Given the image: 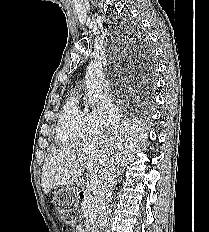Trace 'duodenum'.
<instances>
[{"mask_svg":"<svg viewBox=\"0 0 209 232\" xmlns=\"http://www.w3.org/2000/svg\"><path fill=\"white\" fill-rule=\"evenodd\" d=\"M84 195H85V194H84V191H81V195H80V196L83 198ZM89 232H94V231H93L92 229H90Z\"/></svg>","mask_w":209,"mask_h":232,"instance_id":"obj_1","label":"duodenum"}]
</instances>
